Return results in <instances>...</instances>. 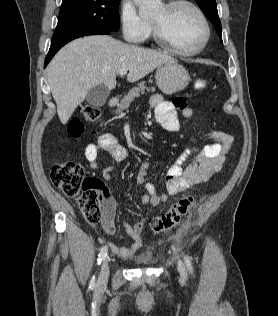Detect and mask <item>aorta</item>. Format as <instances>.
<instances>
[{"instance_id": "obj_1", "label": "aorta", "mask_w": 278, "mask_h": 316, "mask_svg": "<svg viewBox=\"0 0 278 316\" xmlns=\"http://www.w3.org/2000/svg\"><path fill=\"white\" fill-rule=\"evenodd\" d=\"M139 7V15L147 18L159 11L161 0H134Z\"/></svg>"}]
</instances>
